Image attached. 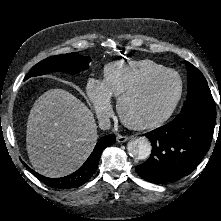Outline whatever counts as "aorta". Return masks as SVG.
<instances>
[{
    "label": "aorta",
    "mask_w": 221,
    "mask_h": 221,
    "mask_svg": "<svg viewBox=\"0 0 221 221\" xmlns=\"http://www.w3.org/2000/svg\"><path fill=\"white\" fill-rule=\"evenodd\" d=\"M151 143L146 137L132 139L127 144L129 155L135 159L143 160L151 154Z\"/></svg>",
    "instance_id": "obj_1"
}]
</instances>
